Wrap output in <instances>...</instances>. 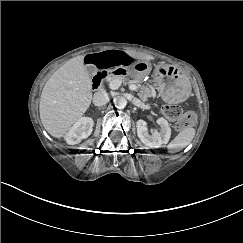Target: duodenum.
<instances>
[{"label": "duodenum", "mask_w": 243, "mask_h": 243, "mask_svg": "<svg viewBox=\"0 0 243 243\" xmlns=\"http://www.w3.org/2000/svg\"><path fill=\"white\" fill-rule=\"evenodd\" d=\"M131 73L129 67H118L112 70H101L92 78V88L97 89L106 78L125 77Z\"/></svg>", "instance_id": "1"}]
</instances>
